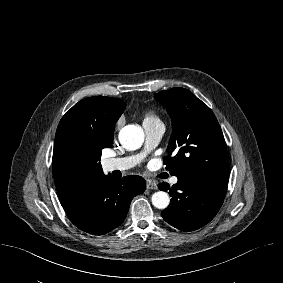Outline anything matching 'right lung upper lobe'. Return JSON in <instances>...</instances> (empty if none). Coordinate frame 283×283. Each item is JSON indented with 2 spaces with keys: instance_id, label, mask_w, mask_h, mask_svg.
I'll return each instance as SVG.
<instances>
[{
  "instance_id": "obj_1",
  "label": "right lung upper lobe",
  "mask_w": 283,
  "mask_h": 283,
  "mask_svg": "<svg viewBox=\"0 0 283 283\" xmlns=\"http://www.w3.org/2000/svg\"><path fill=\"white\" fill-rule=\"evenodd\" d=\"M125 107L118 98L94 96L79 101L62 117L53 151V174L61 204L88 180L103 174L94 148L97 143L111 146L115 123Z\"/></svg>"
}]
</instances>
